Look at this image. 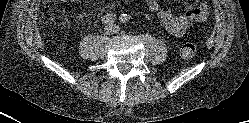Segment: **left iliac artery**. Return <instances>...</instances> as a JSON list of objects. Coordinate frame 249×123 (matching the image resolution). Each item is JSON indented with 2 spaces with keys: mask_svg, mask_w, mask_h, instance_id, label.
<instances>
[{
  "mask_svg": "<svg viewBox=\"0 0 249 123\" xmlns=\"http://www.w3.org/2000/svg\"><path fill=\"white\" fill-rule=\"evenodd\" d=\"M119 21L123 24L128 23L130 21V16L128 14H122L119 17Z\"/></svg>",
  "mask_w": 249,
  "mask_h": 123,
  "instance_id": "left-iliac-artery-1",
  "label": "left iliac artery"
}]
</instances>
